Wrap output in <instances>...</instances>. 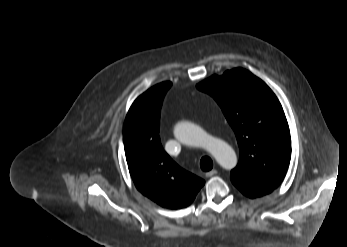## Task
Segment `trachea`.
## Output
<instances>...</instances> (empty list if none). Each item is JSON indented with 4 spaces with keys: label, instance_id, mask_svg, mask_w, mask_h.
Wrapping results in <instances>:
<instances>
[{
    "label": "trachea",
    "instance_id": "obj_1",
    "mask_svg": "<svg viewBox=\"0 0 347 247\" xmlns=\"http://www.w3.org/2000/svg\"><path fill=\"white\" fill-rule=\"evenodd\" d=\"M200 167L203 171H210L213 168V162L210 157L204 156L200 160Z\"/></svg>",
    "mask_w": 347,
    "mask_h": 247
}]
</instances>
